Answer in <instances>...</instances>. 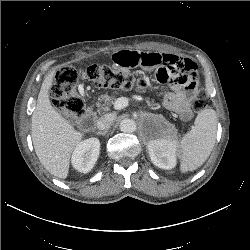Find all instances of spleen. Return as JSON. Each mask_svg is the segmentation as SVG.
Instances as JSON below:
<instances>
[{"instance_id": "1", "label": "spleen", "mask_w": 250, "mask_h": 250, "mask_svg": "<svg viewBox=\"0 0 250 250\" xmlns=\"http://www.w3.org/2000/svg\"><path fill=\"white\" fill-rule=\"evenodd\" d=\"M217 132V115L213 109L202 110L196 117L194 126L180 142V170L194 171L211 154Z\"/></svg>"}]
</instances>
